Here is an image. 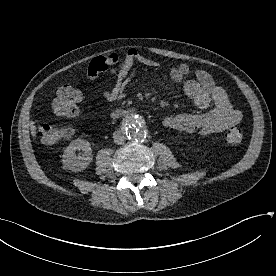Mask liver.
<instances>
[{"label":"liver","mask_w":276,"mask_h":276,"mask_svg":"<svg viewBox=\"0 0 276 276\" xmlns=\"http://www.w3.org/2000/svg\"><path fill=\"white\" fill-rule=\"evenodd\" d=\"M30 130L33 137H36V126L34 122H30Z\"/></svg>","instance_id":"1"}]
</instances>
